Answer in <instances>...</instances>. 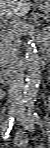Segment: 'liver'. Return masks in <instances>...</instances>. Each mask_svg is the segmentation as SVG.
Here are the masks:
<instances>
[{"mask_svg":"<svg viewBox=\"0 0 50 148\" xmlns=\"http://www.w3.org/2000/svg\"><path fill=\"white\" fill-rule=\"evenodd\" d=\"M29 0H1L0 15L9 19L14 16H22L29 10Z\"/></svg>","mask_w":50,"mask_h":148,"instance_id":"liver-1","label":"liver"}]
</instances>
